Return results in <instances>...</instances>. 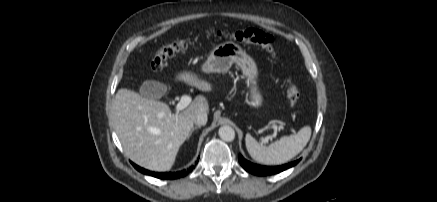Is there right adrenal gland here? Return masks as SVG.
I'll return each mask as SVG.
<instances>
[{
  "label": "right adrenal gland",
  "mask_w": 437,
  "mask_h": 202,
  "mask_svg": "<svg viewBox=\"0 0 437 202\" xmlns=\"http://www.w3.org/2000/svg\"><path fill=\"white\" fill-rule=\"evenodd\" d=\"M201 126H196V127H194L193 128V130L192 131H194V130H196V129H198V128H200Z\"/></svg>",
  "instance_id": "right-adrenal-gland-1"
}]
</instances>
